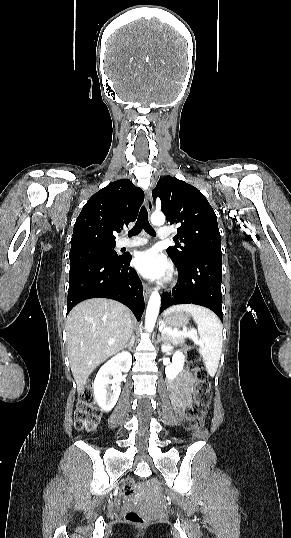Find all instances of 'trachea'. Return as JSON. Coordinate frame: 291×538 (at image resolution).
<instances>
[{
  "label": "trachea",
  "mask_w": 291,
  "mask_h": 538,
  "mask_svg": "<svg viewBox=\"0 0 291 538\" xmlns=\"http://www.w3.org/2000/svg\"><path fill=\"white\" fill-rule=\"evenodd\" d=\"M142 229H144L149 235L156 236L155 230L148 221V212L145 206L141 208L135 226L129 231V237L139 234Z\"/></svg>",
  "instance_id": "trachea-1"
}]
</instances>
